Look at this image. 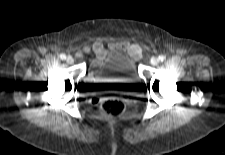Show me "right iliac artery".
Instances as JSON below:
<instances>
[{
	"mask_svg": "<svg viewBox=\"0 0 225 155\" xmlns=\"http://www.w3.org/2000/svg\"><path fill=\"white\" fill-rule=\"evenodd\" d=\"M59 57H60L61 60H65L66 59V55L65 54H60Z\"/></svg>",
	"mask_w": 225,
	"mask_h": 155,
	"instance_id": "1",
	"label": "right iliac artery"
}]
</instances>
